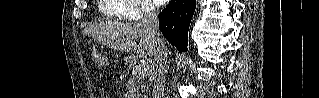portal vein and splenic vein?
Wrapping results in <instances>:
<instances>
[{"instance_id":"18ae733b","label":"portal vein and splenic vein","mask_w":319,"mask_h":98,"mask_svg":"<svg viewBox=\"0 0 319 98\" xmlns=\"http://www.w3.org/2000/svg\"><path fill=\"white\" fill-rule=\"evenodd\" d=\"M151 71V68L149 65H142V66H137L134 69V72L138 75H144V74H149Z\"/></svg>"}]
</instances>
